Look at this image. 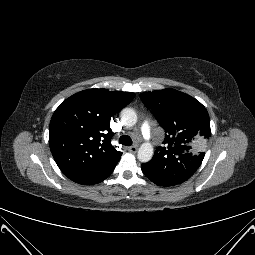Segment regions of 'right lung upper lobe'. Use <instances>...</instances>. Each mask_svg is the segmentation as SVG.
<instances>
[{
    "label": "right lung upper lobe",
    "mask_w": 255,
    "mask_h": 255,
    "mask_svg": "<svg viewBox=\"0 0 255 255\" xmlns=\"http://www.w3.org/2000/svg\"><path fill=\"white\" fill-rule=\"evenodd\" d=\"M132 92L88 89L54 112L49 145L60 170L72 181L93 185L106 179L122 153L111 144L110 119L134 98Z\"/></svg>",
    "instance_id": "1"
}]
</instances>
